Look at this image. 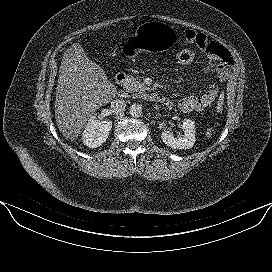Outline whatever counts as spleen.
Returning a JSON list of instances; mask_svg holds the SVG:
<instances>
[{"label":"spleen","instance_id":"3e777b00","mask_svg":"<svg viewBox=\"0 0 272 272\" xmlns=\"http://www.w3.org/2000/svg\"><path fill=\"white\" fill-rule=\"evenodd\" d=\"M212 133H213V130H212V129H210V128L207 129L206 134H205V137H206L207 139L211 138Z\"/></svg>","mask_w":272,"mask_h":272}]
</instances>
